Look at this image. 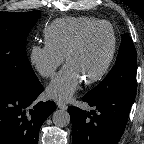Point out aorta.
Masks as SVG:
<instances>
[{
    "mask_svg": "<svg viewBox=\"0 0 144 144\" xmlns=\"http://www.w3.org/2000/svg\"><path fill=\"white\" fill-rule=\"evenodd\" d=\"M53 123L57 127H66L70 123V115L65 110H56L53 113Z\"/></svg>",
    "mask_w": 144,
    "mask_h": 144,
    "instance_id": "obj_1",
    "label": "aorta"
}]
</instances>
